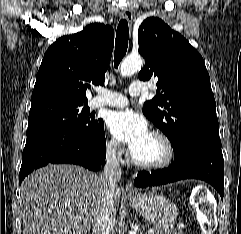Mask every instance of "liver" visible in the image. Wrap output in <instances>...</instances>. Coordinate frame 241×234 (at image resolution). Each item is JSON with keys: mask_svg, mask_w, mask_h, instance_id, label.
<instances>
[{"mask_svg": "<svg viewBox=\"0 0 241 234\" xmlns=\"http://www.w3.org/2000/svg\"><path fill=\"white\" fill-rule=\"evenodd\" d=\"M121 189L113 193L120 203ZM104 199L100 175L76 165H47L21 185L23 234H86Z\"/></svg>", "mask_w": 241, "mask_h": 234, "instance_id": "liver-1", "label": "liver"}]
</instances>
